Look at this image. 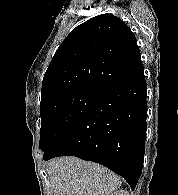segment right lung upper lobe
Here are the masks:
<instances>
[{"label": "right lung upper lobe", "instance_id": "1", "mask_svg": "<svg viewBox=\"0 0 178 195\" xmlns=\"http://www.w3.org/2000/svg\"><path fill=\"white\" fill-rule=\"evenodd\" d=\"M143 69L131 29L112 14L80 24L66 37L45 72L41 102L69 91L101 90Z\"/></svg>", "mask_w": 178, "mask_h": 195}]
</instances>
